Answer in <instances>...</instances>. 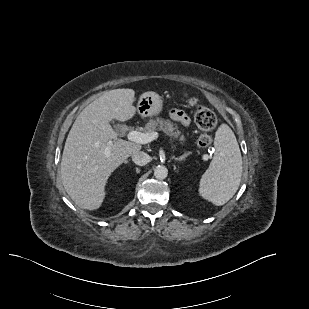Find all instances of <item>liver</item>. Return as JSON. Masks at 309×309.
<instances>
[{"label": "liver", "mask_w": 309, "mask_h": 309, "mask_svg": "<svg viewBox=\"0 0 309 309\" xmlns=\"http://www.w3.org/2000/svg\"><path fill=\"white\" fill-rule=\"evenodd\" d=\"M134 96L132 89L105 92L82 110L68 134L61 180L71 199L83 209L96 210L102 205L111 173L141 149L139 143L118 139L110 125L113 119L127 121L136 114Z\"/></svg>", "instance_id": "obj_1"}]
</instances>
